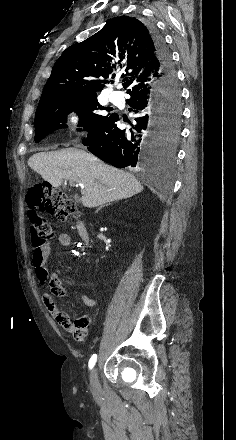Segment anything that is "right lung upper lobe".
<instances>
[{"label": "right lung upper lobe", "instance_id": "1", "mask_svg": "<svg viewBox=\"0 0 236 440\" xmlns=\"http://www.w3.org/2000/svg\"><path fill=\"white\" fill-rule=\"evenodd\" d=\"M116 75L124 78L128 94L160 78L151 33L136 18H113L99 32L68 47L54 64L40 101L52 96L97 94Z\"/></svg>", "mask_w": 236, "mask_h": 440}]
</instances>
